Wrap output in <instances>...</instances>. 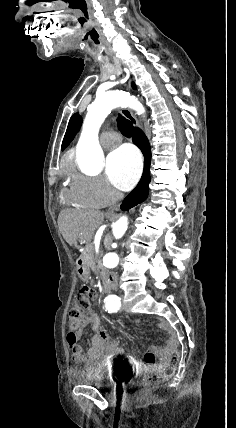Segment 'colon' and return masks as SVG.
Instances as JSON below:
<instances>
[{
	"mask_svg": "<svg viewBox=\"0 0 236 428\" xmlns=\"http://www.w3.org/2000/svg\"><path fill=\"white\" fill-rule=\"evenodd\" d=\"M92 291L89 287H82L76 294L75 302L69 313L68 342L72 347L76 346L78 327L85 321L86 311ZM180 353L177 348H172L166 364L156 372L150 373L143 378L142 384L146 389L154 388L167 381L174 373L178 364Z\"/></svg>",
	"mask_w": 236,
	"mask_h": 428,
	"instance_id": "obj_1",
	"label": "colon"
}]
</instances>
